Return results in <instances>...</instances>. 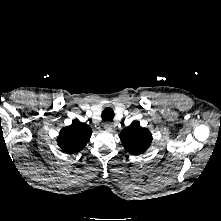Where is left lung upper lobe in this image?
<instances>
[{
    "label": "left lung upper lobe",
    "instance_id": "1",
    "mask_svg": "<svg viewBox=\"0 0 221 221\" xmlns=\"http://www.w3.org/2000/svg\"><path fill=\"white\" fill-rule=\"evenodd\" d=\"M120 139L128 152L141 154L151 145L152 135L148 129L142 128L137 122H133L122 130Z\"/></svg>",
    "mask_w": 221,
    "mask_h": 221
}]
</instances>
